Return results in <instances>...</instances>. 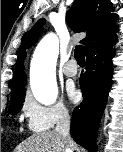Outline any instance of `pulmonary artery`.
<instances>
[{
  "instance_id": "pulmonary-artery-1",
  "label": "pulmonary artery",
  "mask_w": 123,
  "mask_h": 152,
  "mask_svg": "<svg viewBox=\"0 0 123 152\" xmlns=\"http://www.w3.org/2000/svg\"><path fill=\"white\" fill-rule=\"evenodd\" d=\"M63 73L68 77H73L77 74L78 68L74 60L68 61L62 68Z\"/></svg>"
}]
</instances>
